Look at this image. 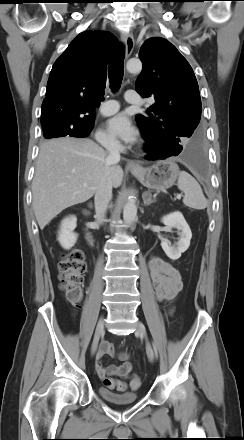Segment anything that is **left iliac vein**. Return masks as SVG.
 <instances>
[{"instance_id": "left-iliac-vein-1", "label": "left iliac vein", "mask_w": 244, "mask_h": 440, "mask_svg": "<svg viewBox=\"0 0 244 440\" xmlns=\"http://www.w3.org/2000/svg\"><path fill=\"white\" fill-rule=\"evenodd\" d=\"M136 334H139L141 337L146 339V352L149 360L152 362L154 360V353L151 347V344L147 340L146 329L143 323L138 322L136 326Z\"/></svg>"}]
</instances>
